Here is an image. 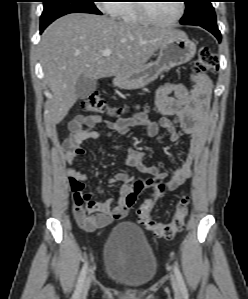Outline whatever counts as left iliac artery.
I'll list each match as a JSON object with an SVG mask.
<instances>
[{"label":"left iliac artery","instance_id":"obj_1","mask_svg":"<svg viewBox=\"0 0 248 299\" xmlns=\"http://www.w3.org/2000/svg\"><path fill=\"white\" fill-rule=\"evenodd\" d=\"M174 273H175L176 279L178 281L181 292L183 294H187V288H186V285L184 283L183 277H182V275H181V273H180V271H179V269L176 265H174Z\"/></svg>","mask_w":248,"mask_h":299}]
</instances>
